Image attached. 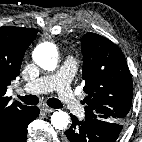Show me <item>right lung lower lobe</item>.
I'll return each instance as SVG.
<instances>
[{
	"label": "right lung lower lobe",
	"mask_w": 142,
	"mask_h": 142,
	"mask_svg": "<svg viewBox=\"0 0 142 142\" xmlns=\"http://www.w3.org/2000/svg\"><path fill=\"white\" fill-rule=\"evenodd\" d=\"M39 113L38 107H28L24 114L10 126L9 131L0 139V142H25L27 127L31 121L38 117Z\"/></svg>",
	"instance_id": "1"
}]
</instances>
